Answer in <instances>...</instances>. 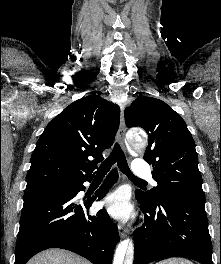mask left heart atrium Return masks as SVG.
Wrapping results in <instances>:
<instances>
[{
  "label": "left heart atrium",
  "instance_id": "1",
  "mask_svg": "<svg viewBox=\"0 0 221 264\" xmlns=\"http://www.w3.org/2000/svg\"><path fill=\"white\" fill-rule=\"evenodd\" d=\"M107 212L119 220H127L132 214L128 194L123 189L109 193L102 202Z\"/></svg>",
  "mask_w": 221,
  "mask_h": 264
}]
</instances>
